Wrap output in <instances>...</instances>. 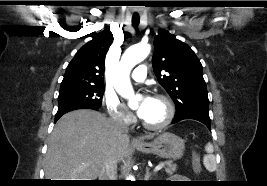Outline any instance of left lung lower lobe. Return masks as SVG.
I'll return each mask as SVG.
<instances>
[{"mask_svg": "<svg viewBox=\"0 0 267 186\" xmlns=\"http://www.w3.org/2000/svg\"><path fill=\"white\" fill-rule=\"evenodd\" d=\"M184 119H194V120L202 122L209 129L211 128V120H210L209 114L198 113V112L184 113V114H181V115H176L174 117L172 123H177V122H179L181 120H184Z\"/></svg>", "mask_w": 267, "mask_h": 186, "instance_id": "0a47b994", "label": "left lung lower lobe"}]
</instances>
